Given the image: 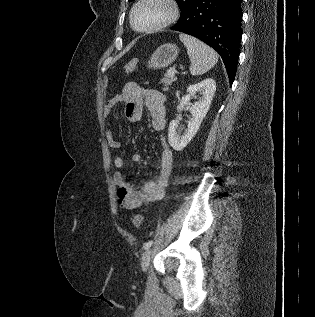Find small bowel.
I'll return each instance as SVG.
<instances>
[{"label":"small bowel","mask_w":315,"mask_h":317,"mask_svg":"<svg viewBox=\"0 0 315 317\" xmlns=\"http://www.w3.org/2000/svg\"><path fill=\"white\" fill-rule=\"evenodd\" d=\"M119 104L124 106V114L130 122H138L142 117L144 107L150 114V122L152 128L162 133L166 127V108L165 98L162 93L144 88L138 83H127L122 92L108 101L105 106L104 113L108 116ZM106 141L108 146L117 150L121 148L120 141L114 138L113 132L108 130L106 133ZM159 173L155 180L144 182L140 185H134L127 181L126 175L117 171L114 174L113 180L117 186L118 204L121 209L133 211L152 202L161 200L166 192L168 180L173 167V154L166 145L163 138ZM132 162H139L141 154L133 153L130 156ZM126 164V158L123 155H117L114 158L116 168H123Z\"/></svg>","instance_id":"c3829d8e"}]
</instances>
